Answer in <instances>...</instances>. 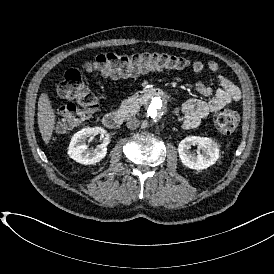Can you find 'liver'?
Returning a JSON list of instances; mask_svg holds the SVG:
<instances>
[{"label":"liver","instance_id":"6515ba94","mask_svg":"<svg viewBox=\"0 0 274 274\" xmlns=\"http://www.w3.org/2000/svg\"><path fill=\"white\" fill-rule=\"evenodd\" d=\"M38 127L45 144L51 140L55 125V114L48 95L42 93L38 100Z\"/></svg>","mask_w":274,"mask_h":274}]
</instances>
